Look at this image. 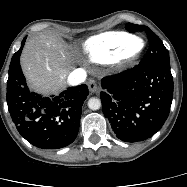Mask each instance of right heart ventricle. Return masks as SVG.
Segmentation results:
<instances>
[{"label": "right heart ventricle", "instance_id": "e07e8e85", "mask_svg": "<svg viewBox=\"0 0 187 187\" xmlns=\"http://www.w3.org/2000/svg\"><path fill=\"white\" fill-rule=\"evenodd\" d=\"M141 43L125 32H106L88 39L85 50L94 62L112 64L129 57Z\"/></svg>", "mask_w": 187, "mask_h": 187}]
</instances>
